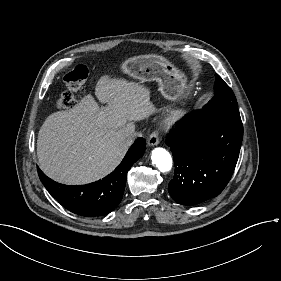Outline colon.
I'll return each instance as SVG.
<instances>
[{
    "instance_id": "1",
    "label": "colon",
    "mask_w": 281,
    "mask_h": 281,
    "mask_svg": "<svg viewBox=\"0 0 281 281\" xmlns=\"http://www.w3.org/2000/svg\"><path fill=\"white\" fill-rule=\"evenodd\" d=\"M88 74V68L82 64L76 65L64 74L63 83L68 87V90L62 92L57 99L60 111L71 110L76 106V97L73 90L80 88L85 83Z\"/></svg>"
}]
</instances>
